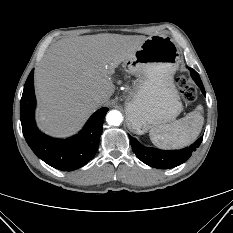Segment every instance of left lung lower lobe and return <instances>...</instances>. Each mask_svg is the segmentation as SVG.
I'll list each match as a JSON object with an SVG mask.
<instances>
[{
	"mask_svg": "<svg viewBox=\"0 0 233 233\" xmlns=\"http://www.w3.org/2000/svg\"><path fill=\"white\" fill-rule=\"evenodd\" d=\"M191 71V76L197 85L200 87L202 93L205 94V89L203 87L202 81L198 73L189 68ZM132 148L136 156L145 164L159 169H169L181 165L187 161L191 154L199 147L202 142V138L196 140L191 146L186 147L181 150L174 151H163L154 148H147L141 145L135 138L129 135Z\"/></svg>",
	"mask_w": 233,
	"mask_h": 233,
	"instance_id": "0a47b994",
	"label": "left lung lower lobe"
}]
</instances>
